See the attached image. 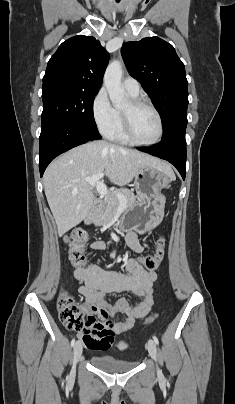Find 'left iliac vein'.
<instances>
[{
    "instance_id": "left-iliac-vein-1",
    "label": "left iliac vein",
    "mask_w": 235,
    "mask_h": 404,
    "mask_svg": "<svg viewBox=\"0 0 235 404\" xmlns=\"http://www.w3.org/2000/svg\"><path fill=\"white\" fill-rule=\"evenodd\" d=\"M147 348H148V351H149V354H150L151 358L156 361L157 348H156L155 342L152 339H150L148 341Z\"/></svg>"
}]
</instances>
